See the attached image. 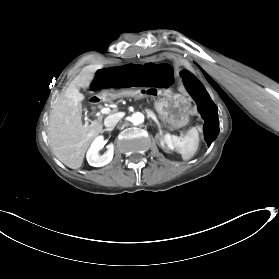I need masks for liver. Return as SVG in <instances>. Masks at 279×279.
Returning <instances> with one entry per match:
<instances>
[{"label":"liver","mask_w":279,"mask_h":279,"mask_svg":"<svg viewBox=\"0 0 279 279\" xmlns=\"http://www.w3.org/2000/svg\"><path fill=\"white\" fill-rule=\"evenodd\" d=\"M93 65L85 67L69 84L66 91L57 99L49 113L47 135L54 155L71 169L81 167L84 155L92 140L103 130L101 119L83 125L81 104L84 95L79 87H88L93 79Z\"/></svg>","instance_id":"6515ba94"}]
</instances>
